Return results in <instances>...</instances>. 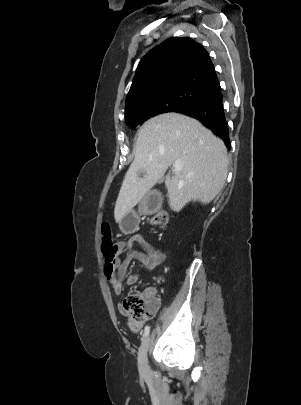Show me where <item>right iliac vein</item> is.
Returning <instances> with one entry per match:
<instances>
[{
    "mask_svg": "<svg viewBox=\"0 0 301 405\" xmlns=\"http://www.w3.org/2000/svg\"><path fill=\"white\" fill-rule=\"evenodd\" d=\"M149 345H150V337L148 336L143 340L142 345L138 352V368L142 375H146L149 371L148 357H147Z\"/></svg>",
    "mask_w": 301,
    "mask_h": 405,
    "instance_id": "63e3f726",
    "label": "right iliac vein"
}]
</instances>
